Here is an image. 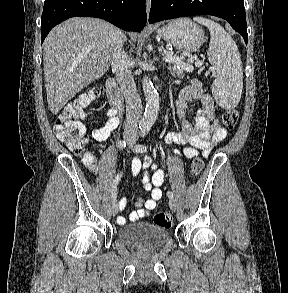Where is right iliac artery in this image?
Listing matches in <instances>:
<instances>
[{"label": "right iliac artery", "instance_id": "obj_1", "mask_svg": "<svg viewBox=\"0 0 288 293\" xmlns=\"http://www.w3.org/2000/svg\"><path fill=\"white\" fill-rule=\"evenodd\" d=\"M126 147V142L125 141H119L118 142V148L123 149ZM121 174H117L113 180L112 184V191H111V197H112V202L116 201L117 197V185L121 179ZM121 206V205H120Z\"/></svg>", "mask_w": 288, "mask_h": 293}]
</instances>
